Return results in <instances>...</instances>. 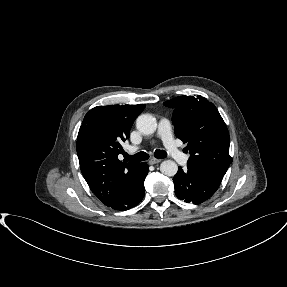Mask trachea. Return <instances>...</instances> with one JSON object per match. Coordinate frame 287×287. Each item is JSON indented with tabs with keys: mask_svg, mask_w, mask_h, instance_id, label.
Returning a JSON list of instances; mask_svg holds the SVG:
<instances>
[{
	"mask_svg": "<svg viewBox=\"0 0 287 287\" xmlns=\"http://www.w3.org/2000/svg\"><path fill=\"white\" fill-rule=\"evenodd\" d=\"M154 156L158 159H163L167 157V153L164 150H156L154 152ZM124 157L126 161H145L149 158V155L146 152H139L135 155H128L127 153H124Z\"/></svg>",
	"mask_w": 287,
	"mask_h": 287,
	"instance_id": "obj_1",
	"label": "trachea"
}]
</instances>
